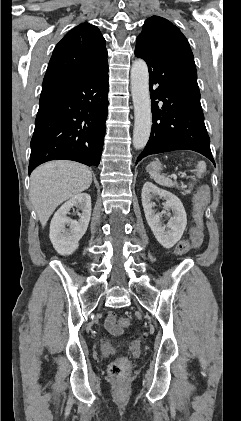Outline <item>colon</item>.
Wrapping results in <instances>:
<instances>
[{
	"instance_id": "obj_1",
	"label": "colon",
	"mask_w": 241,
	"mask_h": 421,
	"mask_svg": "<svg viewBox=\"0 0 241 421\" xmlns=\"http://www.w3.org/2000/svg\"><path fill=\"white\" fill-rule=\"evenodd\" d=\"M210 194L206 186L200 187L195 198L193 218L197 226H201L203 223L204 212L209 203ZM191 248V241L189 239L181 240L175 248V256H182L186 254ZM118 324L120 326L126 327L129 325L130 321L126 317H120L118 319ZM128 369V360L124 357H120L113 361L109 365V373L115 378H121L124 376Z\"/></svg>"
}]
</instances>
